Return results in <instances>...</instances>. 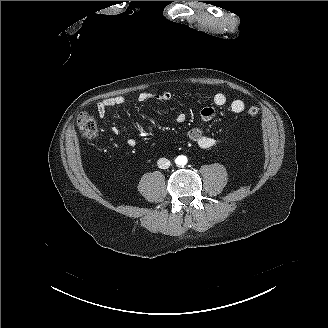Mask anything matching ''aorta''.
I'll return each instance as SVG.
<instances>
[{
	"mask_svg": "<svg viewBox=\"0 0 328 328\" xmlns=\"http://www.w3.org/2000/svg\"><path fill=\"white\" fill-rule=\"evenodd\" d=\"M176 164L179 166H184L187 164V157L186 156H178L175 160Z\"/></svg>",
	"mask_w": 328,
	"mask_h": 328,
	"instance_id": "obj_1",
	"label": "aorta"
}]
</instances>
